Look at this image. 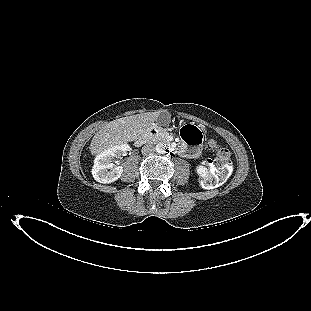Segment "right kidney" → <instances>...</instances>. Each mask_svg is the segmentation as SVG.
Here are the masks:
<instances>
[{
  "label": "right kidney",
  "instance_id": "ca27d5eb",
  "mask_svg": "<svg viewBox=\"0 0 311 311\" xmlns=\"http://www.w3.org/2000/svg\"><path fill=\"white\" fill-rule=\"evenodd\" d=\"M129 150L130 146L122 143L100 153L95 158L94 165L91 170L94 179L97 182L104 184H109L118 180L123 173V168L121 166H115L113 164V160L124 155Z\"/></svg>",
  "mask_w": 311,
  "mask_h": 311
}]
</instances>
